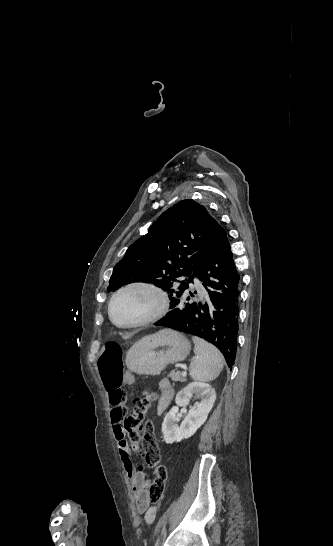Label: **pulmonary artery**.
<instances>
[{"instance_id":"obj_1","label":"pulmonary artery","mask_w":333,"mask_h":546,"mask_svg":"<svg viewBox=\"0 0 333 546\" xmlns=\"http://www.w3.org/2000/svg\"><path fill=\"white\" fill-rule=\"evenodd\" d=\"M195 283L196 285H200L199 281L198 280H195Z\"/></svg>"}]
</instances>
